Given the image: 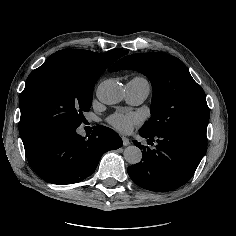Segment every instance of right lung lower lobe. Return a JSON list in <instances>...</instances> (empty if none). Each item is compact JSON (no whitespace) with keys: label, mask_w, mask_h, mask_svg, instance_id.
I'll return each mask as SVG.
<instances>
[{"label":"right lung lower lobe","mask_w":236,"mask_h":236,"mask_svg":"<svg viewBox=\"0 0 236 236\" xmlns=\"http://www.w3.org/2000/svg\"><path fill=\"white\" fill-rule=\"evenodd\" d=\"M77 128L52 131L25 148L28 162L39 177L59 185L80 182L95 171L105 152L123 144L108 127L94 126L87 137L79 135Z\"/></svg>","instance_id":"obj_1"}]
</instances>
